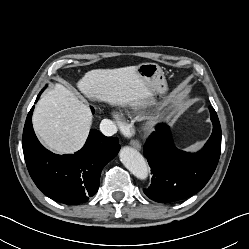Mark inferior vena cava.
<instances>
[{
	"instance_id": "inferior-vena-cava-1",
	"label": "inferior vena cava",
	"mask_w": 249,
	"mask_h": 249,
	"mask_svg": "<svg viewBox=\"0 0 249 249\" xmlns=\"http://www.w3.org/2000/svg\"><path fill=\"white\" fill-rule=\"evenodd\" d=\"M100 131L106 136H113L117 132V126L113 121L103 119L100 123Z\"/></svg>"
}]
</instances>
